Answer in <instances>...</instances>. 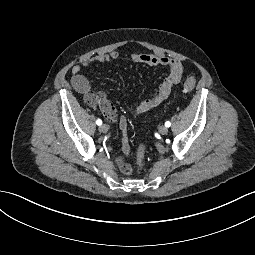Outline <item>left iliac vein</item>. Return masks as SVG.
<instances>
[{"mask_svg":"<svg viewBox=\"0 0 255 255\" xmlns=\"http://www.w3.org/2000/svg\"><path fill=\"white\" fill-rule=\"evenodd\" d=\"M158 130H159V133L162 135H165L168 133V128L166 126H160Z\"/></svg>","mask_w":255,"mask_h":255,"instance_id":"left-iliac-vein-1","label":"left iliac vein"}]
</instances>
